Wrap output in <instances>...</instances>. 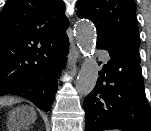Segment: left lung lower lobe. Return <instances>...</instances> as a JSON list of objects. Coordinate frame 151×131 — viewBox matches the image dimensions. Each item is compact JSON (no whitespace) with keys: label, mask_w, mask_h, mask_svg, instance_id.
<instances>
[{"label":"left lung lower lobe","mask_w":151,"mask_h":131,"mask_svg":"<svg viewBox=\"0 0 151 131\" xmlns=\"http://www.w3.org/2000/svg\"><path fill=\"white\" fill-rule=\"evenodd\" d=\"M97 48L107 50L101 44ZM108 53L98 84L84 100L85 131H151V109L140 65Z\"/></svg>","instance_id":"obj_1"}]
</instances>
